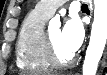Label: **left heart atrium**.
Returning <instances> with one entry per match:
<instances>
[{"mask_svg": "<svg viewBox=\"0 0 107 75\" xmlns=\"http://www.w3.org/2000/svg\"><path fill=\"white\" fill-rule=\"evenodd\" d=\"M61 39L64 48L71 54L80 48L84 39V28L77 16L70 15L65 21L61 31Z\"/></svg>", "mask_w": 107, "mask_h": 75, "instance_id": "39dd6f15", "label": "left heart atrium"}]
</instances>
